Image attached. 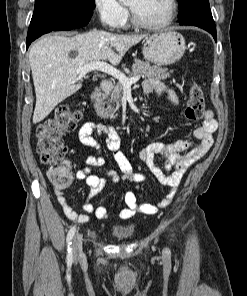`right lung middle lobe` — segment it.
<instances>
[{"mask_svg": "<svg viewBox=\"0 0 247 296\" xmlns=\"http://www.w3.org/2000/svg\"><path fill=\"white\" fill-rule=\"evenodd\" d=\"M94 8L95 0H35L31 21L45 17L54 11H59L68 17H81L92 13Z\"/></svg>", "mask_w": 247, "mask_h": 296, "instance_id": "obj_1", "label": "right lung middle lobe"}]
</instances>
